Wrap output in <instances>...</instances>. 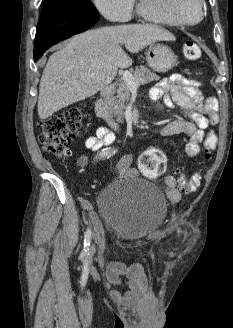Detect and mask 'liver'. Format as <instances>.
Returning <instances> with one entry per match:
<instances>
[{"mask_svg": "<svg viewBox=\"0 0 233 328\" xmlns=\"http://www.w3.org/2000/svg\"><path fill=\"white\" fill-rule=\"evenodd\" d=\"M172 33L149 24L101 27L72 37L54 52L39 84L38 115L47 119L60 109L91 97L109 85L119 68L132 65L121 48L137 53L156 41H174Z\"/></svg>", "mask_w": 233, "mask_h": 328, "instance_id": "liver-1", "label": "liver"}]
</instances>
